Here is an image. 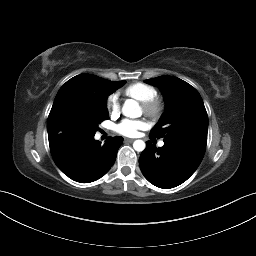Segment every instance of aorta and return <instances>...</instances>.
<instances>
[{
	"instance_id": "obj_1",
	"label": "aorta",
	"mask_w": 256,
	"mask_h": 256,
	"mask_svg": "<svg viewBox=\"0 0 256 256\" xmlns=\"http://www.w3.org/2000/svg\"><path fill=\"white\" fill-rule=\"evenodd\" d=\"M122 113L124 116L129 118H138L142 115L141 108L137 101L128 99L125 101L122 107ZM146 147L143 140H135L133 143V148L137 152H142Z\"/></svg>"
}]
</instances>
